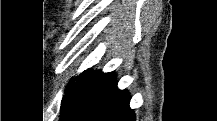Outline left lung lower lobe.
Here are the masks:
<instances>
[{"mask_svg": "<svg viewBox=\"0 0 217 121\" xmlns=\"http://www.w3.org/2000/svg\"><path fill=\"white\" fill-rule=\"evenodd\" d=\"M129 101L128 92L117 88L115 73L100 72L74 121H135Z\"/></svg>", "mask_w": 217, "mask_h": 121, "instance_id": "left-lung-lower-lobe-1", "label": "left lung lower lobe"}]
</instances>
